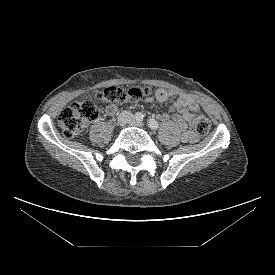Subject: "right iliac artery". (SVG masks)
I'll return each mask as SVG.
<instances>
[{"label": "right iliac artery", "mask_w": 275, "mask_h": 275, "mask_svg": "<svg viewBox=\"0 0 275 275\" xmlns=\"http://www.w3.org/2000/svg\"><path fill=\"white\" fill-rule=\"evenodd\" d=\"M143 114L141 113V112H137L136 114H135V119L137 120V121H142L143 120Z\"/></svg>", "instance_id": "obj_1"}]
</instances>
